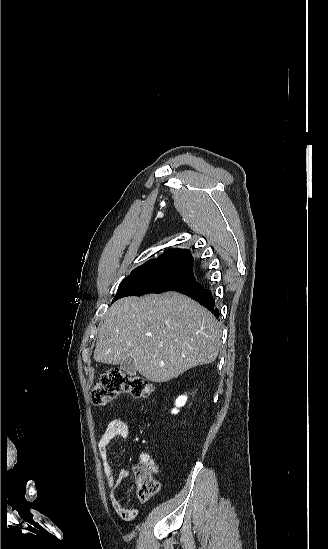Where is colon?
Wrapping results in <instances>:
<instances>
[{
  "label": "colon",
  "instance_id": "obj_1",
  "mask_svg": "<svg viewBox=\"0 0 328 549\" xmlns=\"http://www.w3.org/2000/svg\"><path fill=\"white\" fill-rule=\"evenodd\" d=\"M153 386L144 378L133 376L121 369L113 368L107 371L95 384L91 391V402L96 406L106 405L121 393H129L136 398L151 395ZM137 482V496L147 499L152 489V478L146 469L137 467L134 471ZM135 512H130L127 519H132Z\"/></svg>",
  "mask_w": 328,
  "mask_h": 549
}]
</instances>
